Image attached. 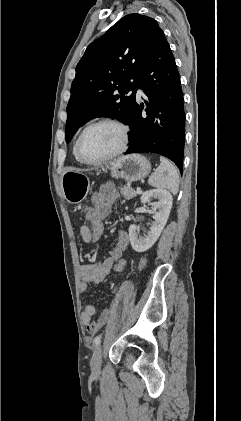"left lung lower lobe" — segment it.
<instances>
[{
	"label": "left lung lower lobe",
	"instance_id": "obj_1",
	"mask_svg": "<svg viewBox=\"0 0 241 421\" xmlns=\"http://www.w3.org/2000/svg\"><path fill=\"white\" fill-rule=\"evenodd\" d=\"M149 102L134 107L125 154L152 152L172 160L182 173L185 143L184 98L175 59L161 30L137 78ZM146 107L147 116L142 117Z\"/></svg>",
	"mask_w": 241,
	"mask_h": 421
}]
</instances>
